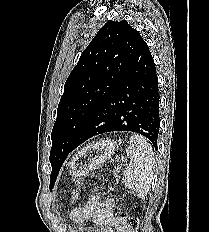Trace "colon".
Returning <instances> with one entry per match:
<instances>
[{
	"instance_id": "1",
	"label": "colon",
	"mask_w": 209,
	"mask_h": 232,
	"mask_svg": "<svg viewBox=\"0 0 209 232\" xmlns=\"http://www.w3.org/2000/svg\"><path fill=\"white\" fill-rule=\"evenodd\" d=\"M77 196V193L74 192L73 197L75 198ZM118 219H120L128 228L129 232H137L136 229L138 227V219L131 215L126 214H119L117 216Z\"/></svg>"
}]
</instances>
